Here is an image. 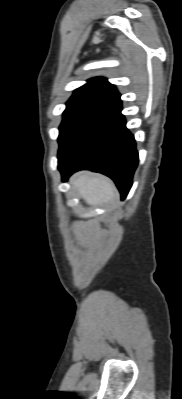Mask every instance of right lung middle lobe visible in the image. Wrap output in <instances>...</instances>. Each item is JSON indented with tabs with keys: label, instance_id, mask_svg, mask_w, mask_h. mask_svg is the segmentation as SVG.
I'll use <instances>...</instances> for the list:
<instances>
[{
	"label": "right lung middle lobe",
	"instance_id": "right-lung-middle-lobe-1",
	"mask_svg": "<svg viewBox=\"0 0 182 399\" xmlns=\"http://www.w3.org/2000/svg\"><path fill=\"white\" fill-rule=\"evenodd\" d=\"M67 107L63 113V121L59 128V143L84 119L91 114L104 108L107 104L104 102L86 98L71 97L67 102Z\"/></svg>",
	"mask_w": 182,
	"mask_h": 399
}]
</instances>
